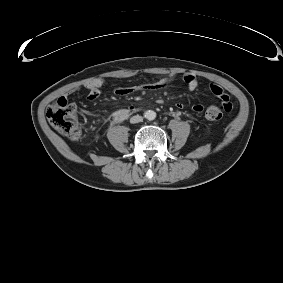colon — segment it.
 Instances as JSON below:
<instances>
[{"mask_svg":"<svg viewBox=\"0 0 283 283\" xmlns=\"http://www.w3.org/2000/svg\"><path fill=\"white\" fill-rule=\"evenodd\" d=\"M224 111H230L228 108L219 106H209L205 111V117L210 121H219L222 119ZM76 107L65 97L58 98L46 111V117L49 123L62 135L70 140H78L81 134V128L75 118Z\"/></svg>","mask_w":283,"mask_h":283,"instance_id":"colon-1","label":"colon"}]
</instances>
